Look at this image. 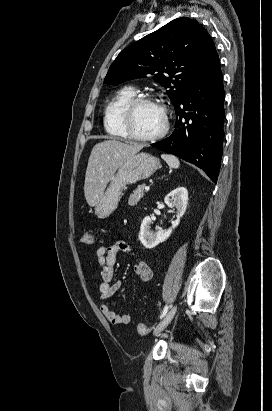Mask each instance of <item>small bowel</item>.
Listing matches in <instances>:
<instances>
[{"label":"small bowel","mask_w":272,"mask_h":411,"mask_svg":"<svg viewBox=\"0 0 272 411\" xmlns=\"http://www.w3.org/2000/svg\"><path fill=\"white\" fill-rule=\"evenodd\" d=\"M128 253L134 255L133 249L121 239L115 240L110 246H100L95 250V258L100 267L101 281L99 284V300L101 302L100 310L107 321L113 325H126L131 321L128 313L117 314L106 301L115 293L122 289L121 281L113 282L114 266L117 262L119 253ZM134 274L142 282H148L152 279L153 273L150 265L143 260H138L133 267Z\"/></svg>","instance_id":"1"}]
</instances>
